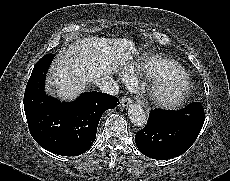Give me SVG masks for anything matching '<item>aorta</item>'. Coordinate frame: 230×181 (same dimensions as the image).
Wrapping results in <instances>:
<instances>
[{"instance_id":"762f6f07","label":"aorta","mask_w":230,"mask_h":181,"mask_svg":"<svg viewBox=\"0 0 230 181\" xmlns=\"http://www.w3.org/2000/svg\"><path fill=\"white\" fill-rule=\"evenodd\" d=\"M131 123L136 127H144L147 124V116L139 104H131L128 109Z\"/></svg>"}]
</instances>
